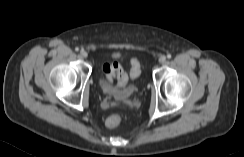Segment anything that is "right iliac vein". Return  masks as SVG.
<instances>
[{
	"mask_svg": "<svg viewBox=\"0 0 244 157\" xmlns=\"http://www.w3.org/2000/svg\"><path fill=\"white\" fill-rule=\"evenodd\" d=\"M80 56H81L82 58H87L88 54H87V52H86L85 50H82V51L80 52Z\"/></svg>",
	"mask_w": 244,
	"mask_h": 157,
	"instance_id": "obj_1",
	"label": "right iliac vein"
}]
</instances>
